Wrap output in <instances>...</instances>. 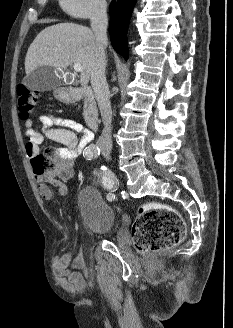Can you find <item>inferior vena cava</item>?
I'll return each instance as SVG.
<instances>
[{
  "label": "inferior vena cava",
  "instance_id": "602c4592",
  "mask_svg": "<svg viewBox=\"0 0 233 328\" xmlns=\"http://www.w3.org/2000/svg\"><path fill=\"white\" fill-rule=\"evenodd\" d=\"M107 5L104 1L99 2L91 15V27L96 37V51L91 68V85L93 87L98 106L104 124L103 131L97 140V146L103 153H109L112 149V109L109 99V87L107 84L105 69L107 46Z\"/></svg>",
  "mask_w": 233,
  "mask_h": 328
}]
</instances>
